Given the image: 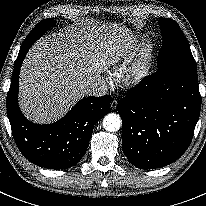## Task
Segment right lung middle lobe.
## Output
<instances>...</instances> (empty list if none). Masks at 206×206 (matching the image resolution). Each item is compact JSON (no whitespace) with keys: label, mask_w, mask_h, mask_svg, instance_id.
<instances>
[{"label":"right lung middle lobe","mask_w":206,"mask_h":206,"mask_svg":"<svg viewBox=\"0 0 206 206\" xmlns=\"http://www.w3.org/2000/svg\"><path fill=\"white\" fill-rule=\"evenodd\" d=\"M55 24L56 21H54L53 19L42 20L33 28V30L30 32L24 42H28L30 41V39H34V41H36L44 34L45 31L53 27Z\"/></svg>","instance_id":"right-lung-middle-lobe-1"}]
</instances>
